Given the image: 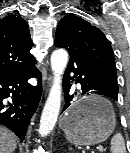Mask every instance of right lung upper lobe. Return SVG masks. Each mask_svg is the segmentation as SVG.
<instances>
[{
    "mask_svg": "<svg viewBox=\"0 0 130 153\" xmlns=\"http://www.w3.org/2000/svg\"><path fill=\"white\" fill-rule=\"evenodd\" d=\"M32 46L28 24L22 17L9 15L0 19V74L34 66Z\"/></svg>",
    "mask_w": 130,
    "mask_h": 153,
    "instance_id": "obj_1",
    "label": "right lung upper lobe"
}]
</instances>
